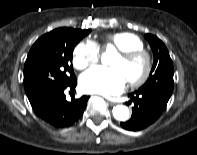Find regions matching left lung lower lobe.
Listing matches in <instances>:
<instances>
[{
	"label": "left lung lower lobe",
	"mask_w": 197,
	"mask_h": 155,
	"mask_svg": "<svg viewBox=\"0 0 197 155\" xmlns=\"http://www.w3.org/2000/svg\"><path fill=\"white\" fill-rule=\"evenodd\" d=\"M128 96L134 102L132 116L129 121L121 122V126L130 131L144 129L155 122L170 98L158 92L145 91H135Z\"/></svg>",
	"instance_id": "left-lung-lower-lobe-1"
}]
</instances>
